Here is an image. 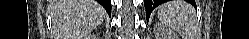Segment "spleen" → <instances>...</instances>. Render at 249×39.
I'll return each instance as SVG.
<instances>
[{"instance_id": "3e777b00", "label": "spleen", "mask_w": 249, "mask_h": 39, "mask_svg": "<svg viewBox=\"0 0 249 39\" xmlns=\"http://www.w3.org/2000/svg\"><path fill=\"white\" fill-rule=\"evenodd\" d=\"M159 20L173 29H178L181 22L191 18V7H179L174 1L166 2L158 7Z\"/></svg>"}]
</instances>
